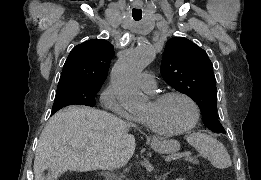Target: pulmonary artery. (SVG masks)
Wrapping results in <instances>:
<instances>
[{
  "label": "pulmonary artery",
  "instance_id": "e3ab8cb5",
  "mask_svg": "<svg viewBox=\"0 0 261 180\" xmlns=\"http://www.w3.org/2000/svg\"><path fill=\"white\" fill-rule=\"evenodd\" d=\"M139 84L144 89H154L156 87L155 75L149 71H145L139 77Z\"/></svg>",
  "mask_w": 261,
  "mask_h": 180
}]
</instances>
